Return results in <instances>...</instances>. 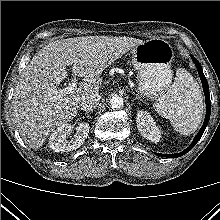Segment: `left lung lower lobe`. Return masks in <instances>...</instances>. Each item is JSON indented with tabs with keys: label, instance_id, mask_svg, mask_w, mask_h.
<instances>
[{
	"label": "left lung lower lobe",
	"instance_id": "1",
	"mask_svg": "<svg viewBox=\"0 0 220 220\" xmlns=\"http://www.w3.org/2000/svg\"><path fill=\"white\" fill-rule=\"evenodd\" d=\"M192 60L194 61V64L196 65V68L198 70L202 85H203V90H204V95H205V100H206V116H205V120L204 123L200 129V131L198 132V134L196 135V137L194 138L193 142L191 143V145L185 149L184 151L177 153V154H159V153H155L158 156H162V157H168V158H176V157H180L185 155L187 152H189L194 146L195 144L199 141V139L201 138V136L204 133V130L209 122L210 119V113H211V102H210V95H209V87H208V83L207 80L204 76V73L202 71V67L200 65V63L197 61V59L194 56H191Z\"/></svg>",
	"mask_w": 220,
	"mask_h": 220
}]
</instances>
